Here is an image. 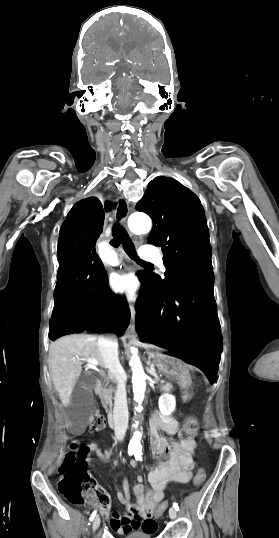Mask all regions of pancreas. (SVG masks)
I'll return each mask as SVG.
<instances>
[{
    "instance_id": "pancreas-1",
    "label": "pancreas",
    "mask_w": 279,
    "mask_h": 538,
    "mask_svg": "<svg viewBox=\"0 0 279 538\" xmlns=\"http://www.w3.org/2000/svg\"><path fill=\"white\" fill-rule=\"evenodd\" d=\"M175 384V381L173 379H164L159 384V387L161 389L170 388V386H173ZM112 392H114L113 388H103L101 394H99L101 398V402L103 406H112Z\"/></svg>"
}]
</instances>
